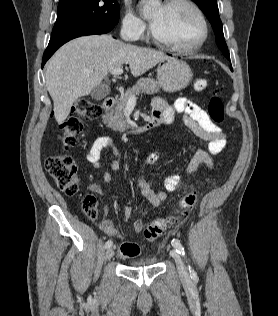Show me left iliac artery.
Instances as JSON below:
<instances>
[{
	"mask_svg": "<svg viewBox=\"0 0 278 316\" xmlns=\"http://www.w3.org/2000/svg\"><path fill=\"white\" fill-rule=\"evenodd\" d=\"M172 244H173L174 248L176 249V252H178V253L181 254L182 256H185L184 247L182 246V244L180 243L179 240L173 239V240H172ZM189 271H190L191 277H195V276H196V273H195L194 270L191 269L190 267H189Z\"/></svg>",
	"mask_w": 278,
	"mask_h": 316,
	"instance_id": "44dca946",
	"label": "left iliac artery"
}]
</instances>
